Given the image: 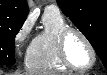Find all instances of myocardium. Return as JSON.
<instances>
[{"label": "myocardium", "instance_id": "myocardium-1", "mask_svg": "<svg viewBox=\"0 0 107 75\" xmlns=\"http://www.w3.org/2000/svg\"><path fill=\"white\" fill-rule=\"evenodd\" d=\"M77 34L78 36H80L83 41L86 43V45L88 46L90 53H91V62L84 66V67H79L74 65L68 55H67V51H66V43H67V39L70 36V34ZM57 48H58V55L59 58L61 60V62L63 63V65H65L67 68L75 70V71H88L90 70L96 63V59H97V54H96V50L93 46V44L91 43V41L89 40V38L79 29L74 28V27H65L59 34L58 36V40H57Z\"/></svg>", "mask_w": 107, "mask_h": 75}]
</instances>
